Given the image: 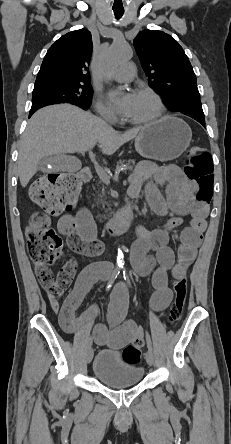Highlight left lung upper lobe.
<instances>
[{
    "label": "left lung upper lobe",
    "mask_w": 231,
    "mask_h": 444,
    "mask_svg": "<svg viewBox=\"0 0 231 444\" xmlns=\"http://www.w3.org/2000/svg\"><path fill=\"white\" fill-rule=\"evenodd\" d=\"M134 47L148 84L164 96L169 109L204 118L195 73L178 42L162 31L143 30Z\"/></svg>",
    "instance_id": "1"
}]
</instances>
